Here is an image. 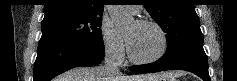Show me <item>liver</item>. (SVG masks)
Instances as JSON below:
<instances>
[{
    "label": "liver",
    "instance_id": "liver-1",
    "mask_svg": "<svg viewBox=\"0 0 237 81\" xmlns=\"http://www.w3.org/2000/svg\"><path fill=\"white\" fill-rule=\"evenodd\" d=\"M157 78L156 75L109 76L104 72V66L99 65L71 69L60 75L57 81H152Z\"/></svg>",
    "mask_w": 237,
    "mask_h": 81
}]
</instances>
